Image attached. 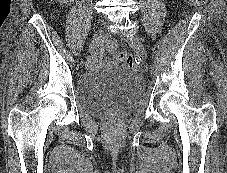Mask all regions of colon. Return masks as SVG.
<instances>
[{"instance_id": "1", "label": "colon", "mask_w": 227, "mask_h": 173, "mask_svg": "<svg viewBox=\"0 0 227 173\" xmlns=\"http://www.w3.org/2000/svg\"><path fill=\"white\" fill-rule=\"evenodd\" d=\"M191 5H201L206 0H186ZM107 49L110 53H112L118 60L124 63L126 66L130 68H135L137 66L136 59L133 55L127 52L119 51L118 44L115 41H110L107 44Z\"/></svg>"}]
</instances>
